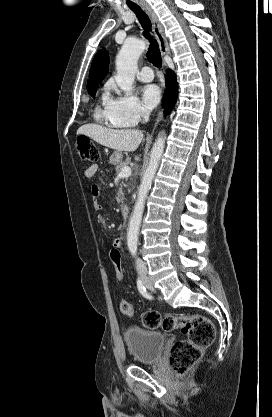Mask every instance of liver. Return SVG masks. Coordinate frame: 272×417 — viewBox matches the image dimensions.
Masks as SVG:
<instances>
[{
    "label": "liver",
    "mask_w": 272,
    "mask_h": 417,
    "mask_svg": "<svg viewBox=\"0 0 272 417\" xmlns=\"http://www.w3.org/2000/svg\"><path fill=\"white\" fill-rule=\"evenodd\" d=\"M86 135L97 143L118 151H135L143 140V133L136 129H110L96 124L79 127L77 135Z\"/></svg>",
    "instance_id": "obj_1"
}]
</instances>
